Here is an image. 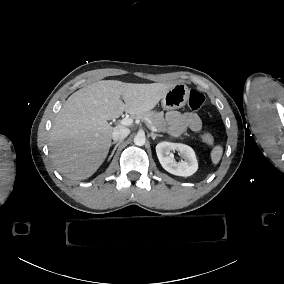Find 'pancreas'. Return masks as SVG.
Returning a JSON list of instances; mask_svg holds the SVG:
<instances>
[{
  "mask_svg": "<svg viewBox=\"0 0 284 284\" xmlns=\"http://www.w3.org/2000/svg\"><path fill=\"white\" fill-rule=\"evenodd\" d=\"M136 117L144 121L149 128L155 127L158 132H165L168 129L163 112L146 111L137 114Z\"/></svg>",
  "mask_w": 284,
  "mask_h": 284,
  "instance_id": "pancreas-1",
  "label": "pancreas"
}]
</instances>
